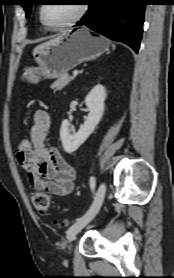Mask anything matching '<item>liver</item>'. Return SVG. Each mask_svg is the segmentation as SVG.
Returning <instances> with one entry per match:
<instances>
[{"label": "liver", "mask_w": 174, "mask_h": 278, "mask_svg": "<svg viewBox=\"0 0 174 278\" xmlns=\"http://www.w3.org/2000/svg\"><path fill=\"white\" fill-rule=\"evenodd\" d=\"M50 42H51V41H48V42H46V43H43V44L37 46V47L34 49L33 53H34L38 48H40V47H42V46H44V45H46V44H49Z\"/></svg>", "instance_id": "obj_1"}]
</instances>
